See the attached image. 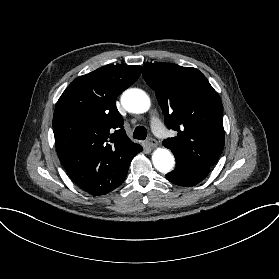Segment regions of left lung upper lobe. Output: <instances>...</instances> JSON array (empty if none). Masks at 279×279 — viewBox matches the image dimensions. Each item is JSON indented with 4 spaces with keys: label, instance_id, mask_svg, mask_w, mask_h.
<instances>
[{
    "label": "left lung upper lobe",
    "instance_id": "obj_1",
    "mask_svg": "<svg viewBox=\"0 0 279 279\" xmlns=\"http://www.w3.org/2000/svg\"><path fill=\"white\" fill-rule=\"evenodd\" d=\"M143 77L155 91L167 127L178 132L162 144L176 161L212 168L225 143L218 93L198 69L173 63L145 64Z\"/></svg>",
    "mask_w": 279,
    "mask_h": 279
}]
</instances>
